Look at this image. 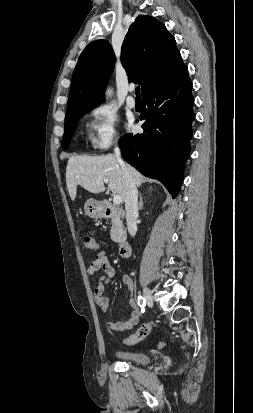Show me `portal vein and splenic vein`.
Listing matches in <instances>:
<instances>
[{
  "label": "portal vein and splenic vein",
  "mask_w": 253,
  "mask_h": 413,
  "mask_svg": "<svg viewBox=\"0 0 253 413\" xmlns=\"http://www.w3.org/2000/svg\"><path fill=\"white\" fill-rule=\"evenodd\" d=\"M104 182L107 183L108 180L105 179ZM121 202H122L121 196H120V195H114V197H113V203L116 204V205H118V204H120Z\"/></svg>",
  "instance_id": "obj_1"
}]
</instances>
